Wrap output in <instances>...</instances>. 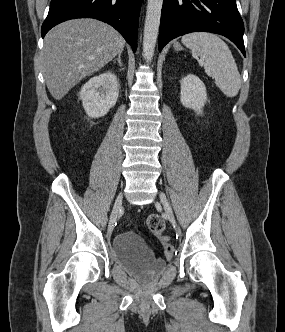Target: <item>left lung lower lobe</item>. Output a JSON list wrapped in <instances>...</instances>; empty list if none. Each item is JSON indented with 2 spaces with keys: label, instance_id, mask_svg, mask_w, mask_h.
Masks as SVG:
<instances>
[{
  "label": "left lung lower lobe",
  "instance_id": "left-lung-lower-lobe-1",
  "mask_svg": "<svg viewBox=\"0 0 285 332\" xmlns=\"http://www.w3.org/2000/svg\"><path fill=\"white\" fill-rule=\"evenodd\" d=\"M197 31L227 37L246 56L244 24L235 0H163L159 51L170 40Z\"/></svg>",
  "mask_w": 285,
  "mask_h": 332
}]
</instances>
